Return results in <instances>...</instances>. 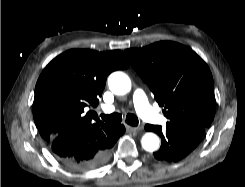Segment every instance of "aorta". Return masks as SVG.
<instances>
[{"instance_id": "762f6f07", "label": "aorta", "mask_w": 245, "mask_h": 187, "mask_svg": "<svg viewBox=\"0 0 245 187\" xmlns=\"http://www.w3.org/2000/svg\"><path fill=\"white\" fill-rule=\"evenodd\" d=\"M109 89L117 95H125L131 90V80L123 72H114L108 78ZM144 150L153 152L159 147V138L153 133H146L141 140Z\"/></svg>"}]
</instances>
